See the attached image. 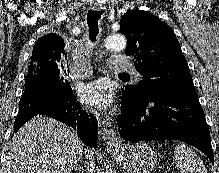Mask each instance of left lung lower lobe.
Segmentation results:
<instances>
[{
    "mask_svg": "<svg viewBox=\"0 0 219 173\" xmlns=\"http://www.w3.org/2000/svg\"><path fill=\"white\" fill-rule=\"evenodd\" d=\"M121 104L117 125L124 140H180L204 152L213 164L210 133L196 91L143 100L123 91Z\"/></svg>",
    "mask_w": 219,
    "mask_h": 173,
    "instance_id": "1",
    "label": "left lung lower lobe"
}]
</instances>
